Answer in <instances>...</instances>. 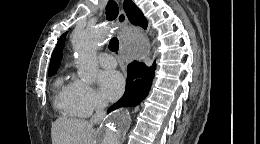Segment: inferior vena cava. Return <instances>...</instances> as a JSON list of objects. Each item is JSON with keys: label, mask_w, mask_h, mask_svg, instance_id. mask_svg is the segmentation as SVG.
<instances>
[{"label": "inferior vena cava", "mask_w": 260, "mask_h": 144, "mask_svg": "<svg viewBox=\"0 0 260 144\" xmlns=\"http://www.w3.org/2000/svg\"><path fill=\"white\" fill-rule=\"evenodd\" d=\"M105 107H106V103L104 101H98L96 112L92 116L89 122L91 125L99 124L103 121L105 116V110H104Z\"/></svg>", "instance_id": "1"}]
</instances>
